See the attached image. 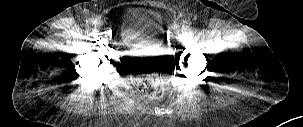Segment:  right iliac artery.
Instances as JSON below:
<instances>
[{
    "mask_svg": "<svg viewBox=\"0 0 303 127\" xmlns=\"http://www.w3.org/2000/svg\"><path fill=\"white\" fill-rule=\"evenodd\" d=\"M95 19H93V18H89L88 20H87V23L88 24H90V25H93V24H95Z\"/></svg>",
    "mask_w": 303,
    "mask_h": 127,
    "instance_id": "right-iliac-artery-1",
    "label": "right iliac artery"
}]
</instances>
